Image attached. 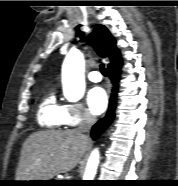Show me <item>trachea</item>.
Here are the masks:
<instances>
[{
	"instance_id": "1",
	"label": "trachea",
	"mask_w": 178,
	"mask_h": 186,
	"mask_svg": "<svg viewBox=\"0 0 178 186\" xmlns=\"http://www.w3.org/2000/svg\"><path fill=\"white\" fill-rule=\"evenodd\" d=\"M100 71L103 75H106V69L104 64H100Z\"/></svg>"
}]
</instances>
